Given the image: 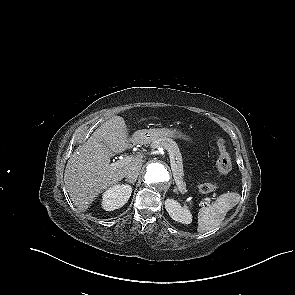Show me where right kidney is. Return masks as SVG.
I'll list each match as a JSON object with an SVG mask.
<instances>
[{
  "label": "right kidney",
  "instance_id": "1",
  "mask_svg": "<svg viewBox=\"0 0 295 295\" xmlns=\"http://www.w3.org/2000/svg\"><path fill=\"white\" fill-rule=\"evenodd\" d=\"M132 188L129 185H114L103 194L102 206L106 211L122 207L129 200Z\"/></svg>",
  "mask_w": 295,
  "mask_h": 295
}]
</instances>
